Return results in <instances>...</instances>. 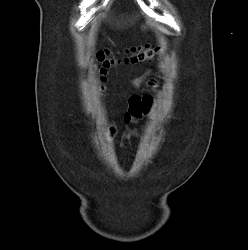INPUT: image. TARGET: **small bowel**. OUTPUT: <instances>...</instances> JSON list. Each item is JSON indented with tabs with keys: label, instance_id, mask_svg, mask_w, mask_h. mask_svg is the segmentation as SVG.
<instances>
[{
	"label": "small bowel",
	"instance_id": "c3829d8e",
	"mask_svg": "<svg viewBox=\"0 0 248 250\" xmlns=\"http://www.w3.org/2000/svg\"><path fill=\"white\" fill-rule=\"evenodd\" d=\"M140 82H141V80H137V81H136V84H139ZM133 115H135V114H133V112L130 111V113L126 116V118H127V119H130V117L133 116Z\"/></svg>",
	"mask_w": 248,
	"mask_h": 250
}]
</instances>
